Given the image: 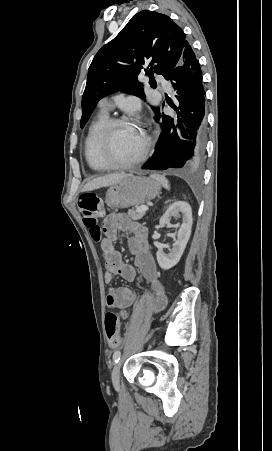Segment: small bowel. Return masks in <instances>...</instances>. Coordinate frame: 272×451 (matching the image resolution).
Returning <instances> with one entry per match:
<instances>
[{
  "label": "small bowel",
  "mask_w": 272,
  "mask_h": 451,
  "mask_svg": "<svg viewBox=\"0 0 272 451\" xmlns=\"http://www.w3.org/2000/svg\"><path fill=\"white\" fill-rule=\"evenodd\" d=\"M102 230L100 246L106 267L104 281L112 282L114 275H119L127 281H134L139 272L157 292L156 299L152 303L153 309L163 308L167 301L159 282V270L150 251L147 228L124 213L114 212L105 217ZM121 236H127L129 251L134 256V266L125 263L121 253L114 246ZM136 300V294L132 290L127 287H117L109 290L107 304L112 308L126 310ZM118 338L121 342L120 335Z\"/></svg>",
  "instance_id": "1"
}]
</instances>
